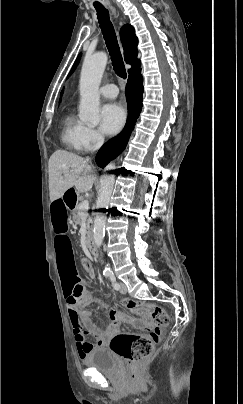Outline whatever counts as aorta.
<instances>
[{
  "instance_id": "1",
  "label": "aorta",
  "mask_w": 243,
  "mask_h": 404,
  "mask_svg": "<svg viewBox=\"0 0 243 404\" xmlns=\"http://www.w3.org/2000/svg\"><path fill=\"white\" fill-rule=\"evenodd\" d=\"M107 60L108 56L105 52H95L93 56L85 58L81 70L79 118L81 122H86L87 126H92V128L98 126L101 120L99 116V86L105 72ZM115 166V163L111 161L102 168L100 194L97 198L94 212L93 238L97 248L102 246L105 236V222L115 181ZM106 270L110 272V268H106Z\"/></svg>"
}]
</instances>
